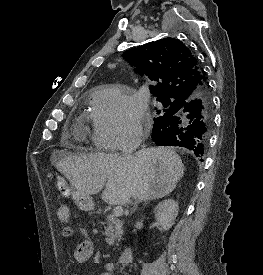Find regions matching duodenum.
<instances>
[{"mask_svg":"<svg viewBox=\"0 0 263 275\" xmlns=\"http://www.w3.org/2000/svg\"><path fill=\"white\" fill-rule=\"evenodd\" d=\"M133 257V250L131 246L127 245L123 248L122 252L118 256L119 263H128Z\"/></svg>","mask_w":263,"mask_h":275,"instance_id":"duodenum-1","label":"duodenum"}]
</instances>
